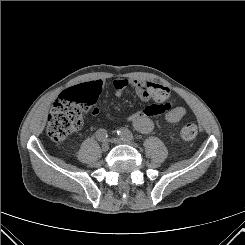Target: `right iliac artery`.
Here are the masks:
<instances>
[{
  "mask_svg": "<svg viewBox=\"0 0 245 245\" xmlns=\"http://www.w3.org/2000/svg\"><path fill=\"white\" fill-rule=\"evenodd\" d=\"M96 138L99 140V141H105L107 140V137H108V134H107V131L104 130V129H99L96 131Z\"/></svg>",
  "mask_w": 245,
  "mask_h": 245,
  "instance_id": "1",
  "label": "right iliac artery"
}]
</instances>
